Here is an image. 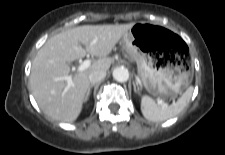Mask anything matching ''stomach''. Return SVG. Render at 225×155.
Masks as SVG:
<instances>
[{
  "label": "stomach",
  "instance_id": "0dacf381",
  "mask_svg": "<svg viewBox=\"0 0 225 155\" xmlns=\"http://www.w3.org/2000/svg\"><path fill=\"white\" fill-rule=\"evenodd\" d=\"M123 41L150 94L171 97L190 84L191 73L182 53L175 50L178 37L171 30L151 23H135L124 34Z\"/></svg>",
  "mask_w": 225,
  "mask_h": 155
}]
</instances>
